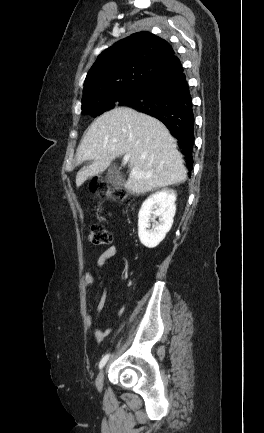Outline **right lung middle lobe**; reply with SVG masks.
<instances>
[{
  "label": "right lung middle lobe",
  "instance_id": "right-lung-middle-lobe-1",
  "mask_svg": "<svg viewBox=\"0 0 264 433\" xmlns=\"http://www.w3.org/2000/svg\"><path fill=\"white\" fill-rule=\"evenodd\" d=\"M140 88L141 85L127 86L100 97L83 99L82 114L96 117L114 107L123 106L137 95Z\"/></svg>",
  "mask_w": 264,
  "mask_h": 433
}]
</instances>
